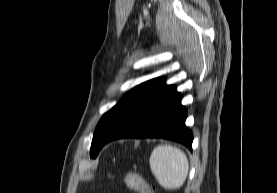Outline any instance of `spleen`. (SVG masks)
<instances>
[{
  "mask_svg": "<svg viewBox=\"0 0 277 193\" xmlns=\"http://www.w3.org/2000/svg\"><path fill=\"white\" fill-rule=\"evenodd\" d=\"M150 169L158 183L166 190L180 188L188 175L186 154L171 145H159L150 156Z\"/></svg>",
  "mask_w": 277,
  "mask_h": 193,
  "instance_id": "3e777b00",
  "label": "spleen"
}]
</instances>
